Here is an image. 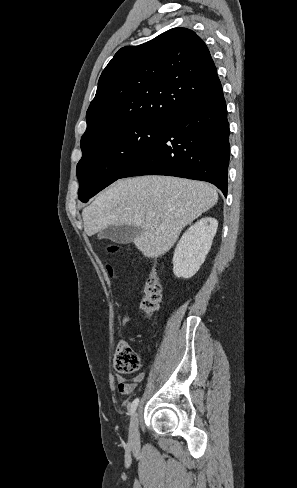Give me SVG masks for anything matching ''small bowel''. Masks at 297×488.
Listing matches in <instances>:
<instances>
[{
    "label": "small bowel",
    "mask_w": 297,
    "mask_h": 488,
    "mask_svg": "<svg viewBox=\"0 0 297 488\" xmlns=\"http://www.w3.org/2000/svg\"><path fill=\"white\" fill-rule=\"evenodd\" d=\"M110 274H111V272H110ZM124 321H128V318L126 317L124 319ZM144 377H145V375L143 372L138 373L135 377L130 378V379L124 377L123 375H121L119 373H116L114 375L118 391L122 395H126V396L133 394L135 392V390L138 387V384L143 381Z\"/></svg>",
    "instance_id": "obj_1"
}]
</instances>
